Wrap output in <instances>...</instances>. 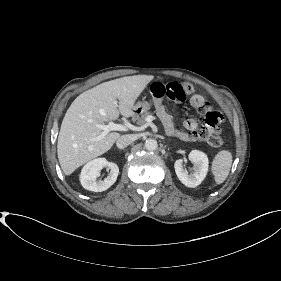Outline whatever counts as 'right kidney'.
<instances>
[{
	"mask_svg": "<svg viewBox=\"0 0 281 281\" xmlns=\"http://www.w3.org/2000/svg\"><path fill=\"white\" fill-rule=\"evenodd\" d=\"M104 167H107L110 172L104 180L98 181L97 178ZM118 174L119 167L116 163L108 162L105 158H97L84 165L80 174V182L86 190L102 192L116 182Z\"/></svg>",
	"mask_w": 281,
	"mask_h": 281,
	"instance_id": "obj_1",
	"label": "right kidney"
}]
</instances>
